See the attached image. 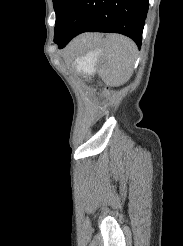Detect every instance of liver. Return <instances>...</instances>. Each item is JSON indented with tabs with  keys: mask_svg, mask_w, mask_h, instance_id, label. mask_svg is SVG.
I'll return each mask as SVG.
<instances>
[{
	"mask_svg": "<svg viewBox=\"0 0 183 246\" xmlns=\"http://www.w3.org/2000/svg\"><path fill=\"white\" fill-rule=\"evenodd\" d=\"M101 42V35L99 34H83L77 37L72 43V47L83 48L95 45Z\"/></svg>",
	"mask_w": 183,
	"mask_h": 246,
	"instance_id": "liver-1",
	"label": "liver"
}]
</instances>
